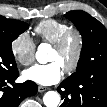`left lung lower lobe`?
<instances>
[{"label":"left lung lower lobe","instance_id":"1","mask_svg":"<svg viewBox=\"0 0 107 107\" xmlns=\"http://www.w3.org/2000/svg\"><path fill=\"white\" fill-rule=\"evenodd\" d=\"M81 87L85 89L83 107H107V77H91L83 81ZM57 90L64 99L60 107H68L66 97L74 94L76 86L63 81Z\"/></svg>","mask_w":107,"mask_h":107}]
</instances>
